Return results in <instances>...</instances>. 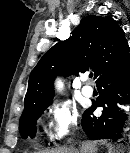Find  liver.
I'll return each mask as SVG.
<instances>
[{"label":"liver","mask_w":130,"mask_h":153,"mask_svg":"<svg viewBox=\"0 0 130 153\" xmlns=\"http://www.w3.org/2000/svg\"><path fill=\"white\" fill-rule=\"evenodd\" d=\"M97 142L95 141H84L82 142L80 146V153H95L97 151ZM77 150L73 149H68L65 147L57 148V149H52V150H46L43 151L42 153H79Z\"/></svg>","instance_id":"liver-1"}]
</instances>
